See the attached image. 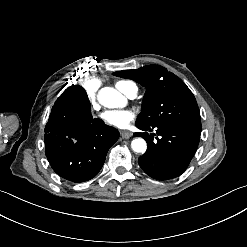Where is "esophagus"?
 I'll list each match as a JSON object with an SVG mask.
<instances>
[{
  "label": "esophagus",
  "mask_w": 247,
  "mask_h": 247,
  "mask_svg": "<svg viewBox=\"0 0 247 247\" xmlns=\"http://www.w3.org/2000/svg\"><path fill=\"white\" fill-rule=\"evenodd\" d=\"M133 133L131 131H121V136L124 138V139H128L130 137H132Z\"/></svg>",
  "instance_id": "obj_1"
}]
</instances>
